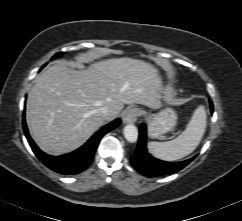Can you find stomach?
Listing matches in <instances>:
<instances>
[{"label":"stomach","instance_id":"0dacf381","mask_svg":"<svg viewBox=\"0 0 242 221\" xmlns=\"http://www.w3.org/2000/svg\"><path fill=\"white\" fill-rule=\"evenodd\" d=\"M177 124V114L172 108H165L149 120L148 133L151 138H159L172 131Z\"/></svg>","mask_w":242,"mask_h":221}]
</instances>
